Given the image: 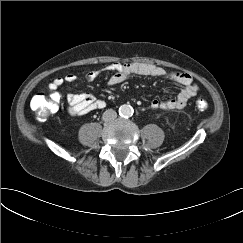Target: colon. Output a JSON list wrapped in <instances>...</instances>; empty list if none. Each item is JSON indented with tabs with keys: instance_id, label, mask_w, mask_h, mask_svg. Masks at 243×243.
Wrapping results in <instances>:
<instances>
[{
	"instance_id": "1",
	"label": "colon",
	"mask_w": 243,
	"mask_h": 243,
	"mask_svg": "<svg viewBox=\"0 0 243 243\" xmlns=\"http://www.w3.org/2000/svg\"><path fill=\"white\" fill-rule=\"evenodd\" d=\"M59 102V93H50L49 95L39 93L32 98L31 108L39 119H45L58 110ZM196 106L200 111H205L208 104L205 100L198 99Z\"/></svg>"
}]
</instances>
